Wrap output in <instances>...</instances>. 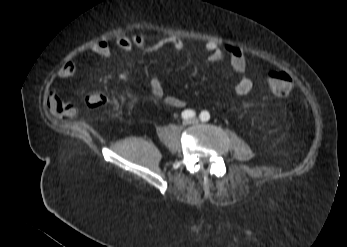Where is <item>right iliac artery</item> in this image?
Segmentation results:
<instances>
[{
    "label": "right iliac artery",
    "instance_id": "1",
    "mask_svg": "<svg viewBox=\"0 0 347 247\" xmlns=\"http://www.w3.org/2000/svg\"><path fill=\"white\" fill-rule=\"evenodd\" d=\"M195 115H196L195 112L193 110H190V109L184 110L181 114L183 119L193 118V117H195Z\"/></svg>",
    "mask_w": 347,
    "mask_h": 247
}]
</instances>
